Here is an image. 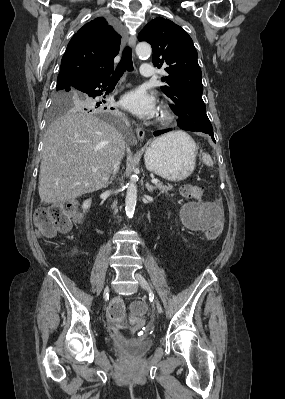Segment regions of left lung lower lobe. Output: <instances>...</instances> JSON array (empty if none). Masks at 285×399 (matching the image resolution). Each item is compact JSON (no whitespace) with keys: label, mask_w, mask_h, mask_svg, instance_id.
Listing matches in <instances>:
<instances>
[{"label":"left lung lower lobe","mask_w":285,"mask_h":399,"mask_svg":"<svg viewBox=\"0 0 285 399\" xmlns=\"http://www.w3.org/2000/svg\"><path fill=\"white\" fill-rule=\"evenodd\" d=\"M168 131H169V130L157 131V132H154V135H155V136H158V135L163 134V133L168 132ZM211 137H212L213 141L215 142L214 135L211 136Z\"/></svg>","instance_id":"0a47b994"}]
</instances>
